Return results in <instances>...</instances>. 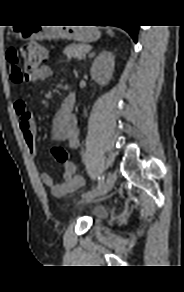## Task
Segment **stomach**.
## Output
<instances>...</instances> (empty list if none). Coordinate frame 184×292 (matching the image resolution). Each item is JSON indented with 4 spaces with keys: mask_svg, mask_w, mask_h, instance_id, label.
Returning <instances> with one entry per match:
<instances>
[{
    "mask_svg": "<svg viewBox=\"0 0 184 292\" xmlns=\"http://www.w3.org/2000/svg\"><path fill=\"white\" fill-rule=\"evenodd\" d=\"M19 34L24 39H43L48 37L46 31L42 30L40 27L25 28L19 31ZM99 37L100 32L97 29L88 27L60 28L50 35V38L72 39L82 43L95 41Z\"/></svg>",
    "mask_w": 184,
    "mask_h": 292,
    "instance_id": "stomach-1",
    "label": "stomach"
}]
</instances>
